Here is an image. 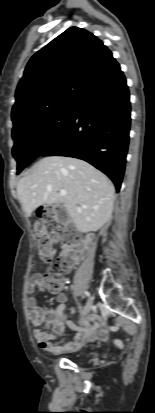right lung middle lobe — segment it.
I'll use <instances>...</instances> for the list:
<instances>
[{
    "label": "right lung middle lobe",
    "mask_w": 155,
    "mask_h": 413,
    "mask_svg": "<svg viewBox=\"0 0 155 413\" xmlns=\"http://www.w3.org/2000/svg\"><path fill=\"white\" fill-rule=\"evenodd\" d=\"M75 109V103L49 110L12 130V155L19 174L63 133Z\"/></svg>",
    "instance_id": "obj_1"
}]
</instances>
